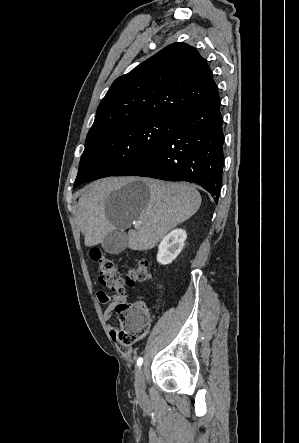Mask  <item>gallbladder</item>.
Masks as SVG:
<instances>
[{"label": "gallbladder", "instance_id": "obj_1", "mask_svg": "<svg viewBox=\"0 0 299 443\" xmlns=\"http://www.w3.org/2000/svg\"><path fill=\"white\" fill-rule=\"evenodd\" d=\"M128 236L123 231L110 232L103 242L102 248L109 254H119L127 247Z\"/></svg>", "mask_w": 299, "mask_h": 443}]
</instances>
